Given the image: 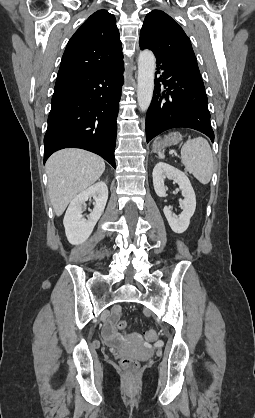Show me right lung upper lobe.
Masks as SVG:
<instances>
[{"instance_id":"obj_1","label":"right lung upper lobe","mask_w":255,"mask_h":418,"mask_svg":"<svg viewBox=\"0 0 255 418\" xmlns=\"http://www.w3.org/2000/svg\"><path fill=\"white\" fill-rule=\"evenodd\" d=\"M120 34L113 14L106 10L93 13L74 33L63 54L58 77L123 62Z\"/></svg>"}]
</instances>
